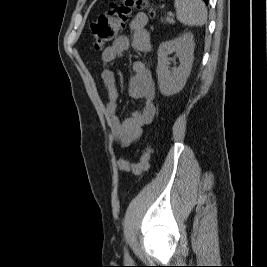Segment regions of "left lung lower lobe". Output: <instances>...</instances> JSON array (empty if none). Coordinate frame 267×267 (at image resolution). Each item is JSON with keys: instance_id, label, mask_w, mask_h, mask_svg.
<instances>
[{"instance_id": "0a47b994", "label": "left lung lower lobe", "mask_w": 267, "mask_h": 267, "mask_svg": "<svg viewBox=\"0 0 267 267\" xmlns=\"http://www.w3.org/2000/svg\"><path fill=\"white\" fill-rule=\"evenodd\" d=\"M204 2H205V3H207V2H208V0H204Z\"/></svg>"}]
</instances>
